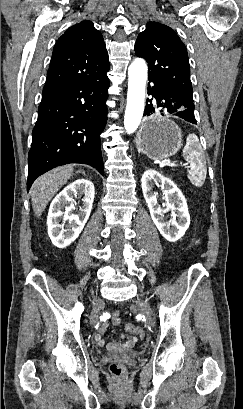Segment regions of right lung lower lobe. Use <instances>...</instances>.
Here are the masks:
<instances>
[{"label": "right lung lower lobe", "mask_w": 243, "mask_h": 409, "mask_svg": "<svg viewBox=\"0 0 243 409\" xmlns=\"http://www.w3.org/2000/svg\"><path fill=\"white\" fill-rule=\"evenodd\" d=\"M106 73L44 86L28 154L27 191L38 176L64 164H88L104 175L100 134L108 112Z\"/></svg>", "instance_id": "obj_1"}]
</instances>
